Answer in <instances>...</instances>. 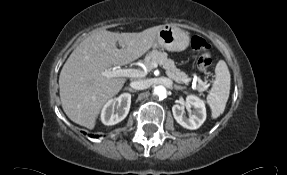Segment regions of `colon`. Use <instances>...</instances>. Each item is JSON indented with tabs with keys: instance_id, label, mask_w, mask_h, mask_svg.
Returning a JSON list of instances; mask_svg holds the SVG:
<instances>
[{
	"instance_id": "5ec220e1",
	"label": "colon",
	"mask_w": 287,
	"mask_h": 175,
	"mask_svg": "<svg viewBox=\"0 0 287 175\" xmlns=\"http://www.w3.org/2000/svg\"><path fill=\"white\" fill-rule=\"evenodd\" d=\"M191 47L193 50L200 53L197 60V68L201 72L206 71L212 62L210 45L202 37L193 36L191 39Z\"/></svg>"
}]
</instances>
